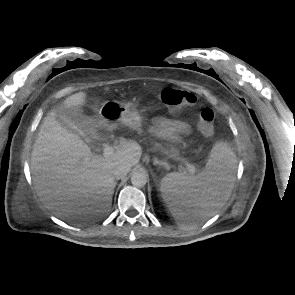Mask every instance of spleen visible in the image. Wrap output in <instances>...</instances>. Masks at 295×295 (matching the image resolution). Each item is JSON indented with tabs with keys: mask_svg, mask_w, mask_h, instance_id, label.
I'll return each instance as SVG.
<instances>
[{
	"mask_svg": "<svg viewBox=\"0 0 295 295\" xmlns=\"http://www.w3.org/2000/svg\"><path fill=\"white\" fill-rule=\"evenodd\" d=\"M236 155L226 142L213 146L204 170L197 176L173 172L160 183L162 197L182 228L212 215L229 198L236 173Z\"/></svg>",
	"mask_w": 295,
	"mask_h": 295,
	"instance_id": "obj_1",
	"label": "spleen"
}]
</instances>
